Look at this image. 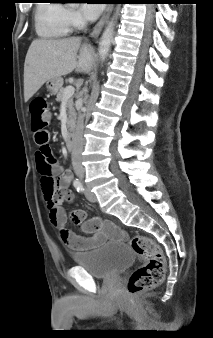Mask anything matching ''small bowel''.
<instances>
[{"label":"small bowel","mask_w":213,"mask_h":338,"mask_svg":"<svg viewBox=\"0 0 213 338\" xmlns=\"http://www.w3.org/2000/svg\"><path fill=\"white\" fill-rule=\"evenodd\" d=\"M41 151L43 157L55 158L51 148L48 145L42 146ZM54 169V171L58 174L61 200L65 202H72L75 198V195L68 190L71 181L70 171L65 170L58 163V160L57 164L54 165ZM72 218L76 223H79L83 226V230L87 234V236H80L74 234L73 232L66 231L65 234L62 235L63 242L66 244L69 250L73 252H83L91 250L95 243L98 241H104L106 239H122V231L109 220L103 221L98 217L87 220L85 211L80 209H76L72 212ZM67 220L68 215L64 208L57 207L54 224L61 230H65ZM92 223H99L103 225V227L91 228Z\"/></svg>","instance_id":"1"}]
</instances>
